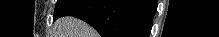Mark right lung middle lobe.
Segmentation results:
<instances>
[{"label":"right lung middle lobe","instance_id":"obj_1","mask_svg":"<svg viewBox=\"0 0 219 37\" xmlns=\"http://www.w3.org/2000/svg\"><path fill=\"white\" fill-rule=\"evenodd\" d=\"M72 0H58L55 6L54 17L60 12V10L69 4Z\"/></svg>","mask_w":219,"mask_h":37}]
</instances>
